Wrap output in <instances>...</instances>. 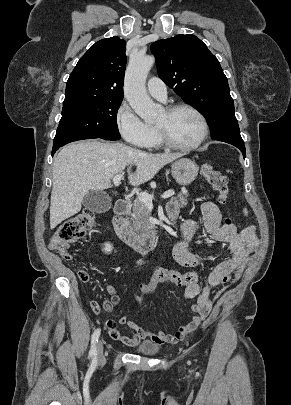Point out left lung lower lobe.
<instances>
[{
	"label": "left lung lower lobe",
	"instance_id": "0a47b994",
	"mask_svg": "<svg viewBox=\"0 0 291 405\" xmlns=\"http://www.w3.org/2000/svg\"><path fill=\"white\" fill-rule=\"evenodd\" d=\"M217 141H222V142H226L229 143L231 145L236 146L237 148H239L243 154V157H246V150H245V146H244V141L243 140H235V139H219Z\"/></svg>",
	"mask_w": 291,
	"mask_h": 405
}]
</instances>
